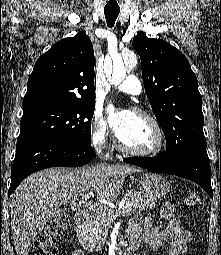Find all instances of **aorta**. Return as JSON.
<instances>
[{"mask_svg": "<svg viewBox=\"0 0 221 255\" xmlns=\"http://www.w3.org/2000/svg\"><path fill=\"white\" fill-rule=\"evenodd\" d=\"M113 64L105 66V73L112 84L121 83L126 77L127 71L133 70L137 65V56L133 52L113 57Z\"/></svg>", "mask_w": 221, "mask_h": 255, "instance_id": "762f6f07", "label": "aorta"}]
</instances>
